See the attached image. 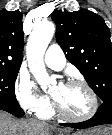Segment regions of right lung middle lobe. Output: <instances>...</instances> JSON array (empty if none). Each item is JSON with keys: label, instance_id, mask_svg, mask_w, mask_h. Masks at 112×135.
I'll use <instances>...</instances> for the list:
<instances>
[{"label": "right lung middle lobe", "instance_id": "obj_1", "mask_svg": "<svg viewBox=\"0 0 112 135\" xmlns=\"http://www.w3.org/2000/svg\"><path fill=\"white\" fill-rule=\"evenodd\" d=\"M19 68L20 65L0 64V103L18 105L14 87Z\"/></svg>", "mask_w": 112, "mask_h": 135}]
</instances>
